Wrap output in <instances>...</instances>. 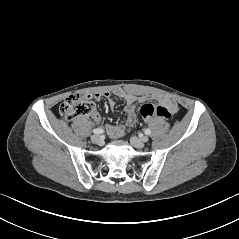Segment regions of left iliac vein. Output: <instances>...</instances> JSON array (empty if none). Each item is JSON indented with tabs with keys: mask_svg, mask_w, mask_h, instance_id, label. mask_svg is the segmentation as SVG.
Wrapping results in <instances>:
<instances>
[{
	"mask_svg": "<svg viewBox=\"0 0 239 239\" xmlns=\"http://www.w3.org/2000/svg\"><path fill=\"white\" fill-rule=\"evenodd\" d=\"M131 144L135 146L136 148H143L145 146V143L148 141V137H142V138H137L135 136L131 137Z\"/></svg>",
	"mask_w": 239,
	"mask_h": 239,
	"instance_id": "left-iliac-vein-1",
	"label": "left iliac vein"
}]
</instances>
